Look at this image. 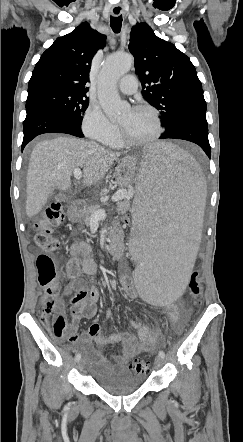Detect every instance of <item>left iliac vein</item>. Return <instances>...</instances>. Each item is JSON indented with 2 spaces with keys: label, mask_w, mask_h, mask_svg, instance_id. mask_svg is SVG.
Segmentation results:
<instances>
[{
  "label": "left iliac vein",
  "mask_w": 243,
  "mask_h": 442,
  "mask_svg": "<svg viewBox=\"0 0 243 442\" xmlns=\"http://www.w3.org/2000/svg\"><path fill=\"white\" fill-rule=\"evenodd\" d=\"M155 365L157 368H160L163 365V358L160 356H157L155 358Z\"/></svg>",
  "instance_id": "left-iliac-vein-1"
}]
</instances>
